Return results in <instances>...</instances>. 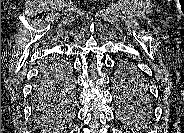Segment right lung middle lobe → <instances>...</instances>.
<instances>
[{"mask_svg":"<svg viewBox=\"0 0 184 133\" xmlns=\"http://www.w3.org/2000/svg\"><path fill=\"white\" fill-rule=\"evenodd\" d=\"M71 85L70 69L66 62L51 58L41 68L33 90V108L37 116L48 115L58 104H63Z\"/></svg>","mask_w":184,"mask_h":133,"instance_id":"obj_1","label":"right lung middle lobe"}]
</instances>
